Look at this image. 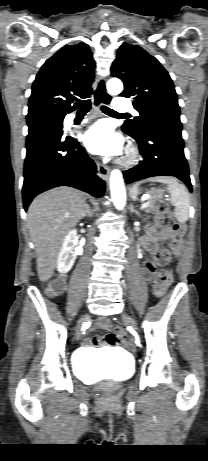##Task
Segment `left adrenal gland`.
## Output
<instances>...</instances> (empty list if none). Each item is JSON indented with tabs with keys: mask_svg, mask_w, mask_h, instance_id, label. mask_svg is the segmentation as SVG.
I'll use <instances>...</instances> for the list:
<instances>
[{
	"mask_svg": "<svg viewBox=\"0 0 208 461\" xmlns=\"http://www.w3.org/2000/svg\"><path fill=\"white\" fill-rule=\"evenodd\" d=\"M130 212H131V213H132V212H135L138 216H140L139 212L136 211V210L134 209V207H133L132 204H130Z\"/></svg>",
	"mask_w": 208,
	"mask_h": 461,
	"instance_id": "a2214340",
	"label": "left adrenal gland"
}]
</instances>
